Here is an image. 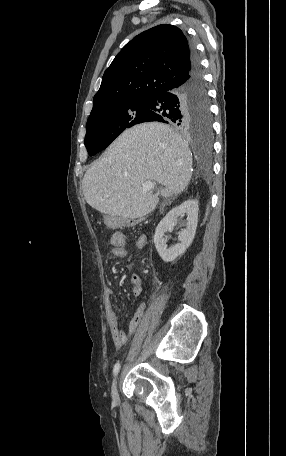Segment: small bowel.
I'll use <instances>...</instances> for the list:
<instances>
[{
    "mask_svg": "<svg viewBox=\"0 0 286 456\" xmlns=\"http://www.w3.org/2000/svg\"><path fill=\"white\" fill-rule=\"evenodd\" d=\"M126 236L123 232H115L110 239V253L119 259H123L127 256V251L125 248ZM147 237L145 235H140L135 241V248L137 250H142L147 245ZM131 290L134 296H140L143 293V286L141 277L138 274H133L131 277ZM113 295V290H107V301L105 302V318L107 327L113 339V342L117 348H121L128 341L129 335L132 334L139 326L144 312L147 307V300H143L133 318L129 323L128 331L121 330L119 328L118 317L114 311L113 305L110 301V297Z\"/></svg>",
    "mask_w": 286,
    "mask_h": 456,
    "instance_id": "c3829d8e",
    "label": "small bowel"
}]
</instances>
